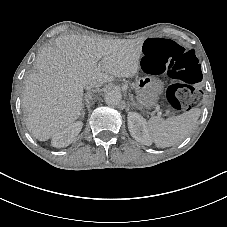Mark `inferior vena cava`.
Masks as SVG:
<instances>
[{"mask_svg":"<svg viewBox=\"0 0 227 227\" xmlns=\"http://www.w3.org/2000/svg\"><path fill=\"white\" fill-rule=\"evenodd\" d=\"M93 86H94V84L91 82L87 85V88H91ZM95 86H100V83H97Z\"/></svg>","mask_w":227,"mask_h":227,"instance_id":"inferior-vena-cava-1","label":"inferior vena cava"}]
</instances>
